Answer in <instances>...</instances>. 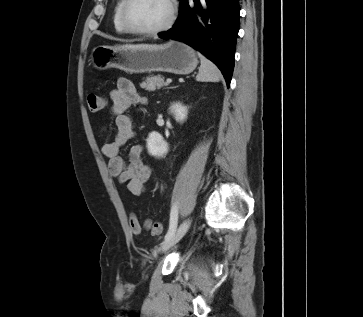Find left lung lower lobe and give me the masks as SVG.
Segmentation results:
<instances>
[{
  "label": "left lung lower lobe",
  "mask_w": 363,
  "mask_h": 317,
  "mask_svg": "<svg viewBox=\"0 0 363 317\" xmlns=\"http://www.w3.org/2000/svg\"><path fill=\"white\" fill-rule=\"evenodd\" d=\"M239 12L238 0H181L173 28L158 36L183 41L199 50L219 67L229 87Z\"/></svg>",
  "instance_id": "1"
}]
</instances>
